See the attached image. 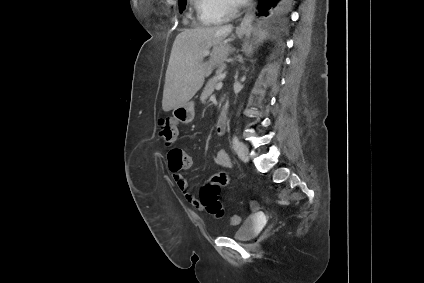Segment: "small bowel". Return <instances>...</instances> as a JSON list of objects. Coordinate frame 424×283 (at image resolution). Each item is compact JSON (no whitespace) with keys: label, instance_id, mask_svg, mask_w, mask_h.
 Segmentation results:
<instances>
[{"label":"small bowel","instance_id":"1","mask_svg":"<svg viewBox=\"0 0 424 283\" xmlns=\"http://www.w3.org/2000/svg\"><path fill=\"white\" fill-rule=\"evenodd\" d=\"M188 160H189V166L184 169L189 168L192 164V160L189 156H188ZM214 162L216 165L223 168H230L232 165L231 159L228 153L224 149H218L216 151L214 156ZM172 175L177 187L182 192L187 202H189L194 207L201 209L202 205L200 201L197 199V197L195 196V194L193 193V191L191 190L187 178L180 171L172 172Z\"/></svg>","mask_w":424,"mask_h":283}]
</instances>
